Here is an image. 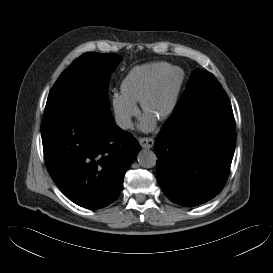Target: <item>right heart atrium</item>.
<instances>
[{"label":"right heart atrium","mask_w":273,"mask_h":273,"mask_svg":"<svg viewBox=\"0 0 273 273\" xmlns=\"http://www.w3.org/2000/svg\"><path fill=\"white\" fill-rule=\"evenodd\" d=\"M112 108L117 123L123 128L128 127L138 113L136 105L119 94L112 97Z\"/></svg>","instance_id":"1"}]
</instances>
